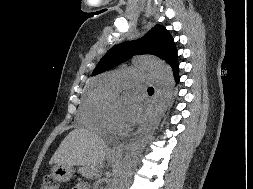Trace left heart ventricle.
<instances>
[{"instance_id":"left-heart-ventricle-1","label":"left heart ventricle","mask_w":253,"mask_h":189,"mask_svg":"<svg viewBox=\"0 0 253 189\" xmlns=\"http://www.w3.org/2000/svg\"><path fill=\"white\" fill-rule=\"evenodd\" d=\"M110 111L112 113L115 123L120 127L119 117L122 112V108L120 106H117V107L111 108Z\"/></svg>"}]
</instances>
